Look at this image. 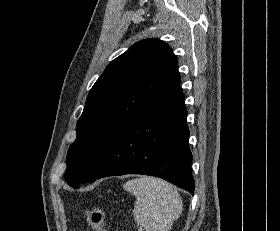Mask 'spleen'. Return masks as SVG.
I'll use <instances>...</instances> for the list:
<instances>
[{"label": "spleen", "mask_w": 280, "mask_h": 231, "mask_svg": "<svg viewBox=\"0 0 280 231\" xmlns=\"http://www.w3.org/2000/svg\"><path fill=\"white\" fill-rule=\"evenodd\" d=\"M123 187L137 199L133 209L137 225L145 227V231H170L183 205L174 185L159 177L140 175L126 181Z\"/></svg>", "instance_id": "spleen-1"}]
</instances>
